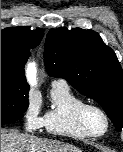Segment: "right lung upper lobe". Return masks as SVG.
Masks as SVG:
<instances>
[{"instance_id": "cb5924a9", "label": "right lung upper lobe", "mask_w": 123, "mask_h": 152, "mask_svg": "<svg viewBox=\"0 0 123 152\" xmlns=\"http://www.w3.org/2000/svg\"><path fill=\"white\" fill-rule=\"evenodd\" d=\"M43 35L42 29L30 30L23 26L1 30V74L11 75L27 84L24 64L30 56V49L40 43Z\"/></svg>"}]
</instances>
